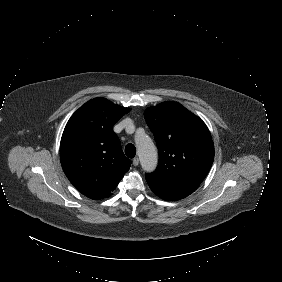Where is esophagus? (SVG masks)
I'll return each mask as SVG.
<instances>
[{
	"label": "esophagus",
	"instance_id": "34e87169",
	"mask_svg": "<svg viewBox=\"0 0 282 282\" xmlns=\"http://www.w3.org/2000/svg\"><path fill=\"white\" fill-rule=\"evenodd\" d=\"M133 165L136 167V166H138V164H139V158L136 156L134 159H133Z\"/></svg>",
	"mask_w": 282,
	"mask_h": 282
}]
</instances>
